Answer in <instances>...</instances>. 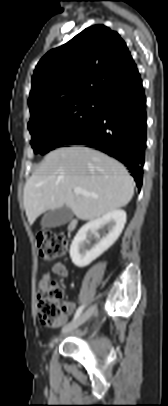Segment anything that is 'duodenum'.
Returning a JSON list of instances; mask_svg holds the SVG:
<instances>
[{"label":"duodenum","mask_w":168,"mask_h":406,"mask_svg":"<svg viewBox=\"0 0 168 406\" xmlns=\"http://www.w3.org/2000/svg\"><path fill=\"white\" fill-rule=\"evenodd\" d=\"M76 226H77V220L74 219L71 221V223L69 225V230L73 231L76 228Z\"/></svg>","instance_id":"duodenum-1"}]
</instances>
